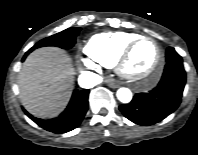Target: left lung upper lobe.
Returning <instances> with one entry per match:
<instances>
[{
    "instance_id": "1",
    "label": "left lung upper lobe",
    "mask_w": 198,
    "mask_h": 155,
    "mask_svg": "<svg viewBox=\"0 0 198 155\" xmlns=\"http://www.w3.org/2000/svg\"><path fill=\"white\" fill-rule=\"evenodd\" d=\"M182 62L181 56L174 50V48L169 47L166 52V62Z\"/></svg>"
}]
</instances>
